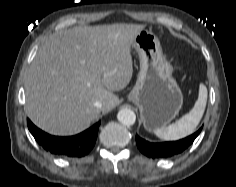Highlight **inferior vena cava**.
<instances>
[{
  "label": "inferior vena cava",
  "mask_w": 236,
  "mask_h": 187,
  "mask_svg": "<svg viewBox=\"0 0 236 187\" xmlns=\"http://www.w3.org/2000/svg\"><path fill=\"white\" fill-rule=\"evenodd\" d=\"M94 106H95L96 108L100 109V108H102V103H101L100 101H96V102L94 103Z\"/></svg>",
  "instance_id": "inferior-vena-cava-1"
}]
</instances>
